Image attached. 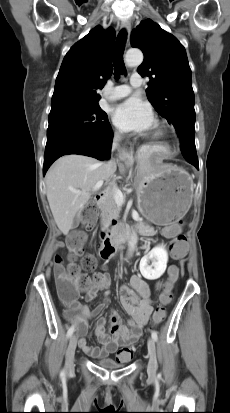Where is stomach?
<instances>
[{
  "mask_svg": "<svg viewBox=\"0 0 230 413\" xmlns=\"http://www.w3.org/2000/svg\"><path fill=\"white\" fill-rule=\"evenodd\" d=\"M135 185L140 213L156 225L178 221L191 206L192 178L175 165L139 164Z\"/></svg>",
  "mask_w": 230,
  "mask_h": 413,
  "instance_id": "0dacf381",
  "label": "stomach"
}]
</instances>
